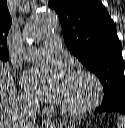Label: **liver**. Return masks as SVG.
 <instances>
[{
	"mask_svg": "<svg viewBox=\"0 0 125 128\" xmlns=\"http://www.w3.org/2000/svg\"><path fill=\"white\" fill-rule=\"evenodd\" d=\"M22 123L15 102L14 82L0 63V128H19Z\"/></svg>",
	"mask_w": 125,
	"mask_h": 128,
	"instance_id": "obj_1",
	"label": "liver"
}]
</instances>
